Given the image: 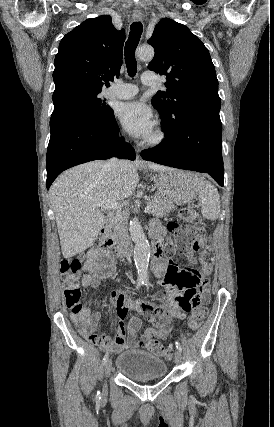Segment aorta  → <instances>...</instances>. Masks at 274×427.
I'll use <instances>...</instances> for the list:
<instances>
[{
	"label": "aorta",
	"mask_w": 274,
	"mask_h": 427,
	"mask_svg": "<svg viewBox=\"0 0 274 427\" xmlns=\"http://www.w3.org/2000/svg\"><path fill=\"white\" fill-rule=\"evenodd\" d=\"M137 55L140 60L151 61L154 56V50L151 46H143L139 48ZM129 231L135 243L134 261L138 270V278L144 281L148 276L150 245L137 218H133V220L130 221Z\"/></svg>",
	"instance_id": "obj_1"
}]
</instances>
